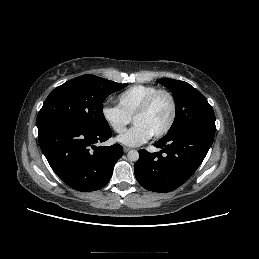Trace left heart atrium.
<instances>
[{
    "label": "left heart atrium",
    "instance_id": "39dd6f15",
    "mask_svg": "<svg viewBox=\"0 0 259 259\" xmlns=\"http://www.w3.org/2000/svg\"><path fill=\"white\" fill-rule=\"evenodd\" d=\"M152 134L140 125H134L125 133L117 137V141L127 146H139L147 142Z\"/></svg>",
    "mask_w": 259,
    "mask_h": 259
}]
</instances>
